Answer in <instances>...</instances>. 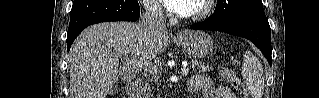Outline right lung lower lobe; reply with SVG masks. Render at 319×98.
Returning a JSON list of instances; mask_svg holds the SVG:
<instances>
[{"label":"right lung lower lobe","mask_w":319,"mask_h":98,"mask_svg":"<svg viewBox=\"0 0 319 98\" xmlns=\"http://www.w3.org/2000/svg\"><path fill=\"white\" fill-rule=\"evenodd\" d=\"M139 16L137 0H74L67 34V50L89 25L107 21H136Z\"/></svg>","instance_id":"right-lung-lower-lobe-1"}]
</instances>
